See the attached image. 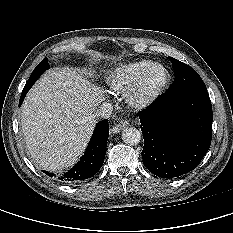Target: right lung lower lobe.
<instances>
[{
    "mask_svg": "<svg viewBox=\"0 0 233 233\" xmlns=\"http://www.w3.org/2000/svg\"><path fill=\"white\" fill-rule=\"evenodd\" d=\"M32 85L26 83L20 97L19 106L22 104L25 95ZM108 136V119H105L97 123L85 154L72 169L57 176L49 172H45V174L49 175L50 177H54L63 183H74L94 176L100 170L104 162Z\"/></svg>",
    "mask_w": 233,
    "mask_h": 233,
    "instance_id": "1",
    "label": "right lung lower lobe"
}]
</instances>
